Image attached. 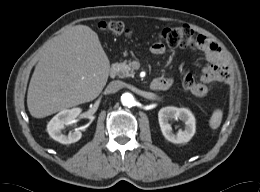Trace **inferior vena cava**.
Listing matches in <instances>:
<instances>
[{"label":"inferior vena cava","instance_id":"1","mask_svg":"<svg viewBox=\"0 0 260 192\" xmlns=\"http://www.w3.org/2000/svg\"><path fill=\"white\" fill-rule=\"evenodd\" d=\"M122 88H123V82L119 81V80H114V81L109 83V85L107 86L105 92L106 93H115V92L119 91Z\"/></svg>","mask_w":260,"mask_h":192}]
</instances>
